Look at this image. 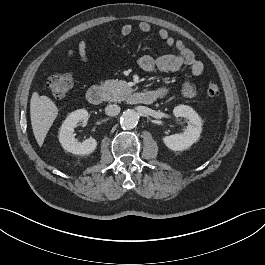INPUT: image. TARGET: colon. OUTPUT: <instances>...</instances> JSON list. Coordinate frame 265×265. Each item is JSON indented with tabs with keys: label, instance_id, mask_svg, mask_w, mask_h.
I'll return each instance as SVG.
<instances>
[{
	"label": "colon",
	"instance_id": "colon-1",
	"mask_svg": "<svg viewBox=\"0 0 265 265\" xmlns=\"http://www.w3.org/2000/svg\"><path fill=\"white\" fill-rule=\"evenodd\" d=\"M73 86V78L70 74H53L47 80V88L55 99L65 98ZM207 94L215 97L220 93V86L211 82L207 86Z\"/></svg>",
	"mask_w": 265,
	"mask_h": 265
}]
</instances>
